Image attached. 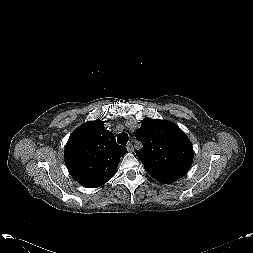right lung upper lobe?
Returning a JSON list of instances; mask_svg holds the SVG:
<instances>
[{
	"label": "right lung upper lobe",
	"instance_id": "obj_1",
	"mask_svg": "<svg viewBox=\"0 0 253 253\" xmlns=\"http://www.w3.org/2000/svg\"><path fill=\"white\" fill-rule=\"evenodd\" d=\"M126 152L102 121H90L70 136L65 147V163L77 182L96 188L115 175L120 157Z\"/></svg>",
	"mask_w": 253,
	"mask_h": 253
}]
</instances>
